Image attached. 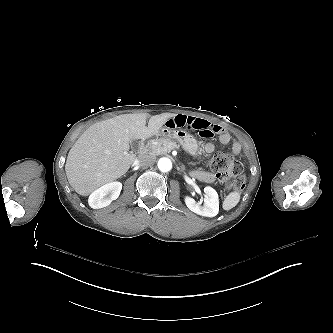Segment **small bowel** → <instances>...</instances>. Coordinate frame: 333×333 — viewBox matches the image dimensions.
I'll list each match as a JSON object with an SVG mask.
<instances>
[{
    "label": "small bowel",
    "instance_id": "1",
    "mask_svg": "<svg viewBox=\"0 0 333 333\" xmlns=\"http://www.w3.org/2000/svg\"><path fill=\"white\" fill-rule=\"evenodd\" d=\"M166 126L168 129L184 127L196 130L198 136L205 138L219 135V140L222 144L226 145L231 143V153L234 157H237L241 153V144L237 140L232 139L229 132L223 130L221 126L211 123L203 118L192 115L177 114L167 120ZM214 149L215 147L211 143L204 146V152L207 154L212 153ZM192 175L204 182L214 181V176L208 172L196 170L193 171Z\"/></svg>",
    "mask_w": 333,
    "mask_h": 333
}]
</instances>
